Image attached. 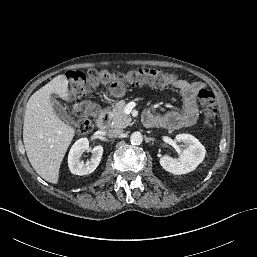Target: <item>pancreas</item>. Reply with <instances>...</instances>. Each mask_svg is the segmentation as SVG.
I'll return each mask as SVG.
<instances>
[{"mask_svg": "<svg viewBox=\"0 0 257 257\" xmlns=\"http://www.w3.org/2000/svg\"><path fill=\"white\" fill-rule=\"evenodd\" d=\"M126 102L121 100L116 103L112 111L109 112V118L111 120V126L114 128H125L131 123V116L125 114L124 108Z\"/></svg>", "mask_w": 257, "mask_h": 257, "instance_id": "1", "label": "pancreas"}]
</instances>
